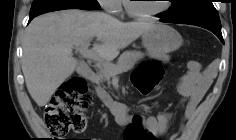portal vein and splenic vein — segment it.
Instances as JSON below:
<instances>
[{
  "instance_id": "obj_1",
  "label": "portal vein and splenic vein",
  "mask_w": 236,
  "mask_h": 140,
  "mask_svg": "<svg viewBox=\"0 0 236 140\" xmlns=\"http://www.w3.org/2000/svg\"><path fill=\"white\" fill-rule=\"evenodd\" d=\"M89 44L85 43L82 46H77V50L80 52V54L87 59L93 60V61H99L102 60L101 56L95 51L90 50L88 48ZM120 70H115L114 75L120 73Z\"/></svg>"
}]
</instances>
